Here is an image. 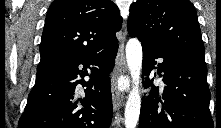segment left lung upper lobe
Listing matches in <instances>:
<instances>
[{
    "label": "left lung upper lobe",
    "instance_id": "left-lung-upper-lobe-1",
    "mask_svg": "<svg viewBox=\"0 0 221 128\" xmlns=\"http://www.w3.org/2000/svg\"><path fill=\"white\" fill-rule=\"evenodd\" d=\"M127 29L142 44L167 47L205 64L200 26L189 0H137L130 7Z\"/></svg>",
    "mask_w": 221,
    "mask_h": 128
}]
</instances>
